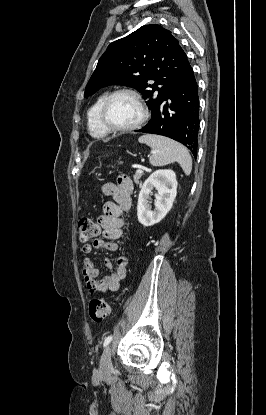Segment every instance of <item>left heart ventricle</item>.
I'll use <instances>...</instances> for the list:
<instances>
[{
    "instance_id": "left-heart-ventricle-1",
    "label": "left heart ventricle",
    "mask_w": 266,
    "mask_h": 415,
    "mask_svg": "<svg viewBox=\"0 0 266 415\" xmlns=\"http://www.w3.org/2000/svg\"><path fill=\"white\" fill-rule=\"evenodd\" d=\"M140 116L141 110L137 102L126 94L116 96L108 109V119L117 127L131 126L139 120Z\"/></svg>"
}]
</instances>
